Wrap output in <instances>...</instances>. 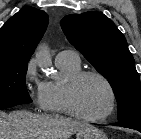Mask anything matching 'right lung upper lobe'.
<instances>
[{"label": "right lung upper lobe", "instance_id": "cb5924a9", "mask_svg": "<svg viewBox=\"0 0 141 139\" xmlns=\"http://www.w3.org/2000/svg\"><path fill=\"white\" fill-rule=\"evenodd\" d=\"M48 25V15L24 7L0 28V64L28 63Z\"/></svg>", "mask_w": 141, "mask_h": 139}]
</instances>
